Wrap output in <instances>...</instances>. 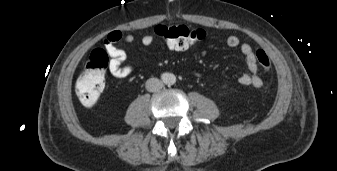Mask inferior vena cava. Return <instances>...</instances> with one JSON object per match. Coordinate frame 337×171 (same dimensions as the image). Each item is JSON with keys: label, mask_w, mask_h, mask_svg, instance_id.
<instances>
[{"label": "inferior vena cava", "mask_w": 337, "mask_h": 171, "mask_svg": "<svg viewBox=\"0 0 337 171\" xmlns=\"http://www.w3.org/2000/svg\"><path fill=\"white\" fill-rule=\"evenodd\" d=\"M162 86H163V83L157 78H150L146 81V89L149 92H155L161 89Z\"/></svg>", "instance_id": "1"}]
</instances>
